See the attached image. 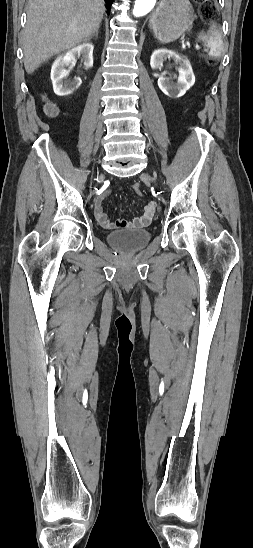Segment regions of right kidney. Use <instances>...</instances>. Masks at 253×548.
Returning <instances> with one entry per match:
<instances>
[{
	"instance_id": "obj_1",
	"label": "right kidney",
	"mask_w": 253,
	"mask_h": 548,
	"mask_svg": "<svg viewBox=\"0 0 253 548\" xmlns=\"http://www.w3.org/2000/svg\"><path fill=\"white\" fill-rule=\"evenodd\" d=\"M93 49L94 46L91 43L86 42L56 58L51 68V80L56 95L68 96L81 85V79L79 77H76L73 80H67L68 71L66 70V67H73L76 64V58L81 56L85 68H92Z\"/></svg>"
}]
</instances>
